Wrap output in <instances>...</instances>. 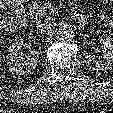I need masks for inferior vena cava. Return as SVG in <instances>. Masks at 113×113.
<instances>
[{"label": "inferior vena cava", "instance_id": "inferior-vena-cava-1", "mask_svg": "<svg viewBox=\"0 0 113 113\" xmlns=\"http://www.w3.org/2000/svg\"><path fill=\"white\" fill-rule=\"evenodd\" d=\"M52 23H41L37 25L36 27V33L38 34H46L49 33L52 30Z\"/></svg>", "mask_w": 113, "mask_h": 113}]
</instances>
